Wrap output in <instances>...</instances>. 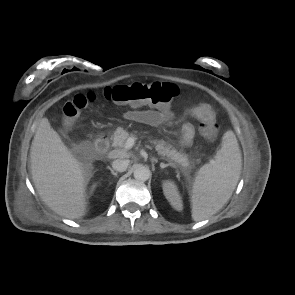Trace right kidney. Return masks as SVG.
<instances>
[{"label": "right kidney", "mask_w": 295, "mask_h": 295, "mask_svg": "<svg viewBox=\"0 0 295 295\" xmlns=\"http://www.w3.org/2000/svg\"><path fill=\"white\" fill-rule=\"evenodd\" d=\"M95 187H96V184H94V185L92 186V190H94Z\"/></svg>", "instance_id": "ca27d5eb"}]
</instances>
